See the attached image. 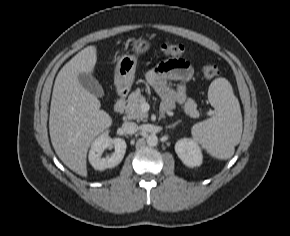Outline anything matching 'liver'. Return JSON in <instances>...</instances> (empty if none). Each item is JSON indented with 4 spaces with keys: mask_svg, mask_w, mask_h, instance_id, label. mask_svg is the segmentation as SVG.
Returning a JSON list of instances; mask_svg holds the SVG:
<instances>
[{
    "mask_svg": "<svg viewBox=\"0 0 290 236\" xmlns=\"http://www.w3.org/2000/svg\"><path fill=\"white\" fill-rule=\"evenodd\" d=\"M97 62L96 46L77 53L59 71L52 93L49 132L61 161L73 172L87 176V152L92 141L112 125L100 110L98 98L78 81L81 73H92Z\"/></svg>",
    "mask_w": 290,
    "mask_h": 236,
    "instance_id": "liver-1",
    "label": "liver"
}]
</instances>
